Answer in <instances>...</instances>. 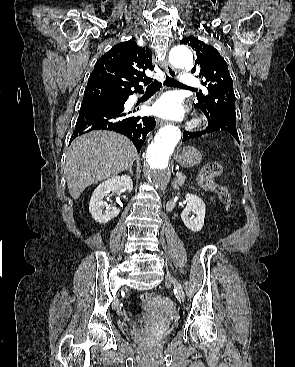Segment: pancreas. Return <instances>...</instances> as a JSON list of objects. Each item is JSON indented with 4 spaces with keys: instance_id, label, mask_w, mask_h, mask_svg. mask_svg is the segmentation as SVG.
<instances>
[{
    "instance_id": "1",
    "label": "pancreas",
    "mask_w": 295,
    "mask_h": 367,
    "mask_svg": "<svg viewBox=\"0 0 295 367\" xmlns=\"http://www.w3.org/2000/svg\"><path fill=\"white\" fill-rule=\"evenodd\" d=\"M185 179H186V176L184 175H181L179 177H177L176 181H177V184H179L180 186L184 184L185 182Z\"/></svg>"
}]
</instances>
